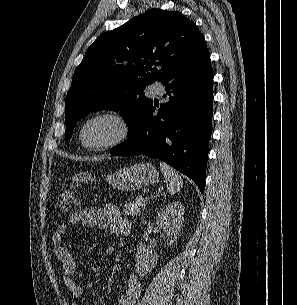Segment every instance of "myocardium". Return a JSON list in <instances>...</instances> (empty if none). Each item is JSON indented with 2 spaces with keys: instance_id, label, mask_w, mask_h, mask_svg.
<instances>
[{
  "instance_id": "f54148a6",
  "label": "myocardium",
  "mask_w": 297,
  "mask_h": 305,
  "mask_svg": "<svg viewBox=\"0 0 297 305\" xmlns=\"http://www.w3.org/2000/svg\"><path fill=\"white\" fill-rule=\"evenodd\" d=\"M111 120L118 127L117 135L111 140L102 142V143H90L87 142L84 137L85 128L92 122L97 120ZM131 132V125L128 118L120 112L113 110H104L93 113L86 118H84L77 128V138L80 143V146L88 151H103L115 148L122 143H124Z\"/></svg>"
}]
</instances>
